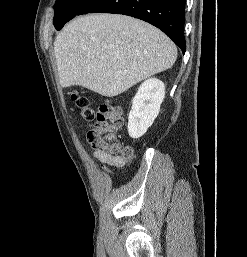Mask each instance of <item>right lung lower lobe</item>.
I'll return each instance as SVG.
<instances>
[{"label": "right lung lower lobe", "instance_id": "1", "mask_svg": "<svg viewBox=\"0 0 247 257\" xmlns=\"http://www.w3.org/2000/svg\"><path fill=\"white\" fill-rule=\"evenodd\" d=\"M186 0H92L78 15L86 13H115L144 20L162 30L182 50L184 38Z\"/></svg>", "mask_w": 247, "mask_h": 257}]
</instances>
